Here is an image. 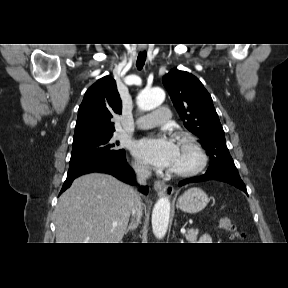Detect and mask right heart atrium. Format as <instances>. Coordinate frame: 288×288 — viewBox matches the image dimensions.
<instances>
[{"instance_id": "obj_1", "label": "right heart atrium", "mask_w": 288, "mask_h": 288, "mask_svg": "<svg viewBox=\"0 0 288 288\" xmlns=\"http://www.w3.org/2000/svg\"><path fill=\"white\" fill-rule=\"evenodd\" d=\"M134 167L137 171L144 173L147 171V167L141 162H135Z\"/></svg>"}]
</instances>
